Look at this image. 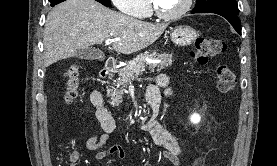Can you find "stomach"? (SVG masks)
<instances>
[{
	"mask_svg": "<svg viewBox=\"0 0 277 166\" xmlns=\"http://www.w3.org/2000/svg\"><path fill=\"white\" fill-rule=\"evenodd\" d=\"M197 35L194 28L180 25L172 30L170 37L171 41L177 46H189L196 40Z\"/></svg>",
	"mask_w": 277,
	"mask_h": 166,
	"instance_id": "obj_1",
	"label": "stomach"
}]
</instances>
